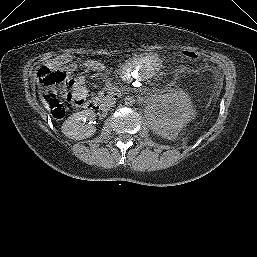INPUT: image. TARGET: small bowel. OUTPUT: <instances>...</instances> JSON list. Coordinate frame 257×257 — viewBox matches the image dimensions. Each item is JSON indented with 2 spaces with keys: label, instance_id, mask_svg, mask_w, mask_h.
Wrapping results in <instances>:
<instances>
[{
  "label": "small bowel",
  "instance_id": "1",
  "mask_svg": "<svg viewBox=\"0 0 257 257\" xmlns=\"http://www.w3.org/2000/svg\"><path fill=\"white\" fill-rule=\"evenodd\" d=\"M97 68L101 69V68H103V66L98 65ZM73 70H74V65L73 64L67 66L64 70H62L65 73V77H66L65 80L68 84H71V83H74V82L77 81L76 79L72 78Z\"/></svg>",
  "mask_w": 257,
  "mask_h": 257
}]
</instances>
